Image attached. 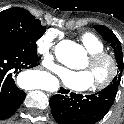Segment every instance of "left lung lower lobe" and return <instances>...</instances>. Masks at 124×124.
<instances>
[{
  "label": "left lung lower lobe",
  "mask_w": 124,
  "mask_h": 124,
  "mask_svg": "<svg viewBox=\"0 0 124 124\" xmlns=\"http://www.w3.org/2000/svg\"><path fill=\"white\" fill-rule=\"evenodd\" d=\"M116 93L117 88L110 85L85 96L60 88L50 99L52 115L58 124H95L109 111Z\"/></svg>",
  "instance_id": "left-lung-lower-lobe-1"
}]
</instances>
